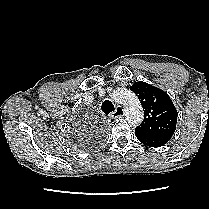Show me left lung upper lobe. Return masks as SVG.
<instances>
[{
  "mask_svg": "<svg viewBox=\"0 0 209 209\" xmlns=\"http://www.w3.org/2000/svg\"><path fill=\"white\" fill-rule=\"evenodd\" d=\"M130 89L138 96L144 109L143 122L135 128V133L169 141L178 116L170 97L163 90L142 81L134 83Z\"/></svg>",
  "mask_w": 209,
  "mask_h": 209,
  "instance_id": "1",
  "label": "left lung upper lobe"
}]
</instances>
